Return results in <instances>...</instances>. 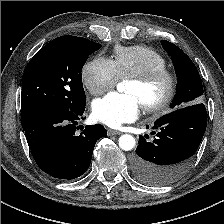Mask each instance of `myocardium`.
I'll return each instance as SVG.
<instances>
[{
  "label": "myocardium",
  "mask_w": 224,
  "mask_h": 224,
  "mask_svg": "<svg viewBox=\"0 0 224 224\" xmlns=\"http://www.w3.org/2000/svg\"><path fill=\"white\" fill-rule=\"evenodd\" d=\"M130 79L131 81L140 83L143 86H149L161 79H163L166 83L165 91L159 99L148 101L143 104L144 110L146 112H157L167 108L176 95L177 91L176 74L166 67L153 69L144 74L133 76Z\"/></svg>",
  "instance_id": "f54148a6"
}]
</instances>
